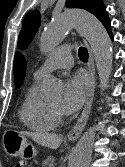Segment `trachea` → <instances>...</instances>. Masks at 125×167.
Returning <instances> with one entry per match:
<instances>
[{
  "label": "trachea",
  "mask_w": 125,
  "mask_h": 167,
  "mask_svg": "<svg viewBox=\"0 0 125 167\" xmlns=\"http://www.w3.org/2000/svg\"><path fill=\"white\" fill-rule=\"evenodd\" d=\"M78 56H79V58L82 61H87L88 60V51H87V49L84 48V47L79 48Z\"/></svg>",
  "instance_id": "obj_1"
}]
</instances>
